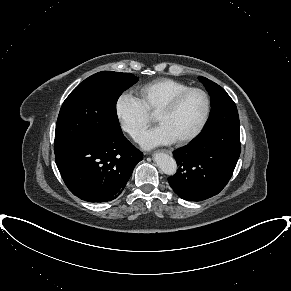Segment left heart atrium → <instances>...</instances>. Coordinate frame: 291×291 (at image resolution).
Segmentation results:
<instances>
[{
  "label": "left heart atrium",
  "mask_w": 291,
  "mask_h": 291,
  "mask_svg": "<svg viewBox=\"0 0 291 291\" xmlns=\"http://www.w3.org/2000/svg\"><path fill=\"white\" fill-rule=\"evenodd\" d=\"M139 142L144 148L149 149L159 145L171 144L174 142V139L165 127L159 125L145 132L139 139Z\"/></svg>",
  "instance_id": "1"
}]
</instances>
